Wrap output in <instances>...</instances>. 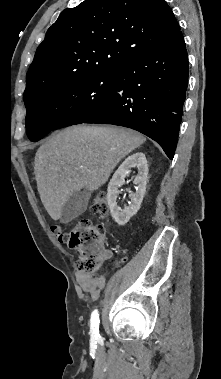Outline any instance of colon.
<instances>
[{"mask_svg": "<svg viewBox=\"0 0 221 379\" xmlns=\"http://www.w3.org/2000/svg\"><path fill=\"white\" fill-rule=\"evenodd\" d=\"M90 210L94 214L105 215L108 212L106 194L100 192L94 197ZM51 232L60 243L67 244L80 253L77 268L83 273L96 272L101 264L104 230L88 219L80 220L75 227L65 232L60 225L51 226Z\"/></svg>", "mask_w": 221, "mask_h": 379, "instance_id": "obj_1", "label": "colon"}]
</instances>
